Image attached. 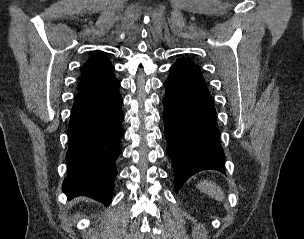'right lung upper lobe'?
Segmentation results:
<instances>
[{
    "label": "right lung upper lobe",
    "instance_id": "cb5924a9",
    "mask_svg": "<svg viewBox=\"0 0 304 239\" xmlns=\"http://www.w3.org/2000/svg\"><path fill=\"white\" fill-rule=\"evenodd\" d=\"M114 68L108 57L101 52L86 61L81 78V89L100 80Z\"/></svg>",
    "mask_w": 304,
    "mask_h": 239
}]
</instances>
